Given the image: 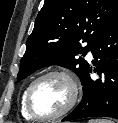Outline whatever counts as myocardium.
Segmentation results:
<instances>
[{
  "label": "myocardium",
  "mask_w": 118,
  "mask_h": 123,
  "mask_svg": "<svg viewBox=\"0 0 118 123\" xmlns=\"http://www.w3.org/2000/svg\"><path fill=\"white\" fill-rule=\"evenodd\" d=\"M52 76L62 77L70 86L71 95L67 105L58 113L51 116H41L38 115L32 106V94L36 86L46 78ZM80 93V86L77 77L70 71L65 69H53L45 72L44 74L37 77L28 87L25 96L26 110L29 115L37 121H54L60 119L66 115L76 104Z\"/></svg>",
  "instance_id": "myocardium-1"
}]
</instances>
